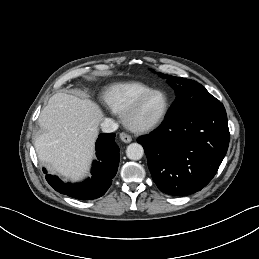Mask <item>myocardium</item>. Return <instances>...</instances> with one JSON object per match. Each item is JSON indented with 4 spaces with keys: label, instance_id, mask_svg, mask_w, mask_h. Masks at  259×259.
Listing matches in <instances>:
<instances>
[{
    "label": "myocardium",
    "instance_id": "myocardium-1",
    "mask_svg": "<svg viewBox=\"0 0 259 259\" xmlns=\"http://www.w3.org/2000/svg\"><path fill=\"white\" fill-rule=\"evenodd\" d=\"M155 93H162L166 98L165 108L162 114L154 121L148 123H139L136 121V116L141 109L142 105L145 101ZM171 107V101L166 93V91L162 89H151L144 95H142L139 99H137L132 106L124 113L123 122L125 126L134 133H147L150 132L157 127H159L166 119Z\"/></svg>",
    "mask_w": 259,
    "mask_h": 259
}]
</instances>
